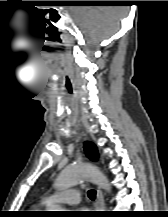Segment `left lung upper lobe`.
Returning a JSON list of instances; mask_svg holds the SVG:
<instances>
[{
	"label": "left lung upper lobe",
	"instance_id": "left-lung-upper-lobe-1",
	"mask_svg": "<svg viewBox=\"0 0 168 217\" xmlns=\"http://www.w3.org/2000/svg\"><path fill=\"white\" fill-rule=\"evenodd\" d=\"M84 150L86 155L91 159L96 161L98 159V151L97 147L92 142H85Z\"/></svg>",
	"mask_w": 168,
	"mask_h": 217
}]
</instances>
